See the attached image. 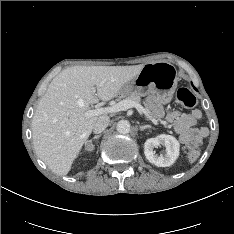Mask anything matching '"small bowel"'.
Returning <instances> with one entry per match:
<instances>
[{
    "instance_id": "c3829d8e",
    "label": "small bowel",
    "mask_w": 234,
    "mask_h": 234,
    "mask_svg": "<svg viewBox=\"0 0 234 234\" xmlns=\"http://www.w3.org/2000/svg\"><path fill=\"white\" fill-rule=\"evenodd\" d=\"M147 104L150 118L160 119L164 117L168 123L173 125L183 145L187 147L196 146L208 135L206 127H196L198 120L201 118L200 110L195 109L191 113H181L177 110L165 112L154 96L147 98Z\"/></svg>"
}]
</instances>
